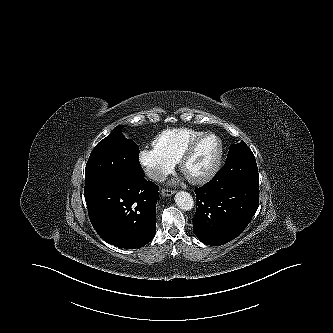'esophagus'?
<instances>
[{
    "label": "esophagus",
    "mask_w": 333,
    "mask_h": 333,
    "mask_svg": "<svg viewBox=\"0 0 333 333\" xmlns=\"http://www.w3.org/2000/svg\"><path fill=\"white\" fill-rule=\"evenodd\" d=\"M174 193L175 191L170 189H162L160 192L162 196H172Z\"/></svg>",
    "instance_id": "1"
}]
</instances>
